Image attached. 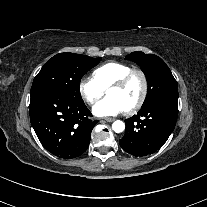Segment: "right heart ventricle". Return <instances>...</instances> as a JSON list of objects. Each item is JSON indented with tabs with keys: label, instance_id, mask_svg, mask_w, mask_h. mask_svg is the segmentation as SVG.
Instances as JSON below:
<instances>
[{
	"label": "right heart ventricle",
	"instance_id": "1",
	"mask_svg": "<svg viewBox=\"0 0 207 207\" xmlns=\"http://www.w3.org/2000/svg\"><path fill=\"white\" fill-rule=\"evenodd\" d=\"M132 70V67L122 62H107L93 71V78L105 90Z\"/></svg>",
	"mask_w": 207,
	"mask_h": 207
}]
</instances>
